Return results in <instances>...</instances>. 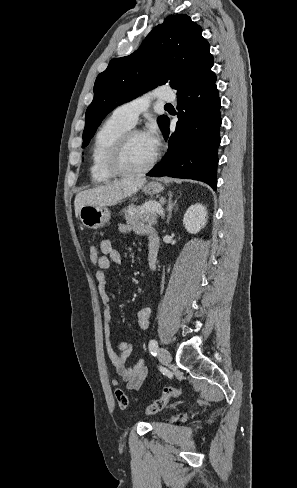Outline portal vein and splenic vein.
Instances as JSON below:
<instances>
[{
    "label": "portal vein and splenic vein",
    "instance_id": "obj_1",
    "mask_svg": "<svg viewBox=\"0 0 297 488\" xmlns=\"http://www.w3.org/2000/svg\"><path fill=\"white\" fill-rule=\"evenodd\" d=\"M162 205L160 203H155V204H147L144 209L146 210H156L158 211L161 209Z\"/></svg>",
    "mask_w": 297,
    "mask_h": 488
}]
</instances>
